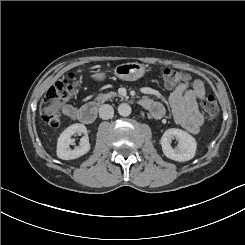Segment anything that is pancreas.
I'll return each instance as SVG.
<instances>
[{"label": "pancreas", "mask_w": 245, "mask_h": 245, "mask_svg": "<svg viewBox=\"0 0 245 245\" xmlns=\"http://www.w3.org/2000/svg\"><path fill=\"white\" fill-rule=\"evenodd\" d=\"M117 96L123 98L122 96L118 95L117 93H115V92H113V91H111V92H109V93H106V94L99 93V94L95 97L94 103H95L96 105H100V104L104 103L106 100H108V99H110V98H113V97H117Z\"/></svg>", "instance_id": "cf45deb5"}]
</instances>
